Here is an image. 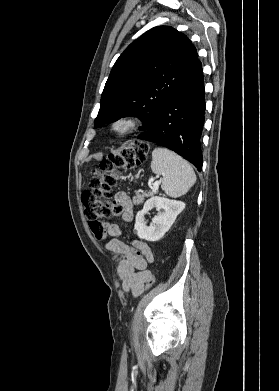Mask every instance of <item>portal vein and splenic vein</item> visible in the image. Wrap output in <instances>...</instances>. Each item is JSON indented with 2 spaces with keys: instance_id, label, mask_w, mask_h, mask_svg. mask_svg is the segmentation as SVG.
<instances>
[{
  "instance_id": "18ae733b",
  "label": "portal vein and splenic vein",
  "mask_w": 279,
  "mask_h": 391,
  "mask_svg": "<svg viewBox=\"0 0 279 391\" xmlns=\"http://www.w3.org/2000/svg\"><path fill=\"white\" fill-rule=\"evenodd\" d=\"M159 184H160L159 181H157V182H155V183L153 184L152 192H156V191L158 190Z\"/></svg>"
}]
</instances>
